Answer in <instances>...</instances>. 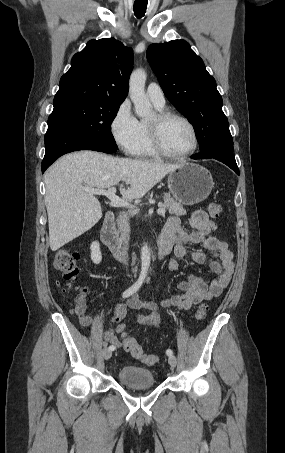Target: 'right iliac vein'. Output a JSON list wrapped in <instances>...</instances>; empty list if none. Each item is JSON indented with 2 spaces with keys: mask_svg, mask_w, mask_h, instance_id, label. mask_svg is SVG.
<instances>
[{
  "mask_svg": "<svg viewBox=\"0 0 285 453\" xmlns=\"http://www.w3.org/2000/svg\"><path fill=\"white\" fill-rule=\"evenodd\" d=\"M102 355L105 360H108L112 355V350H110L108 347H105L102 351Z\"/></svg>",
  "mask_w": 285,
  "mask_h": 453,
  "instance_id": "1",
  "label": "right iliac vein"
}]
</instances>
